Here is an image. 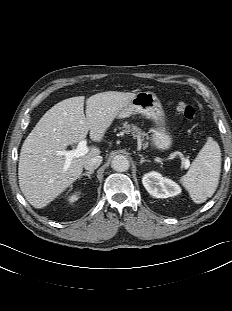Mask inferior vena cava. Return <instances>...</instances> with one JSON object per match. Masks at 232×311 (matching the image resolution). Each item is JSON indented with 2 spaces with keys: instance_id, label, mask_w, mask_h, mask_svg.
Instances as JSON below:
<instances>
[{
  "instance_id": "1",
  "label": "inferior vena cava",
  "mask_w": 232,
  "mask_h": 311,
  "mask_svg": "<svg viewBox=\"0 0 232 311\" xmlns=\"http://www.w3.org/2000/svg\"><path fill=\"white\" fill-rule=\"evenodd\" d=\"M101 162L102 157L99 155L90 157L84 162V168L89 171L94 170L100 166Z\"/></svg>"
}]
</instances>
